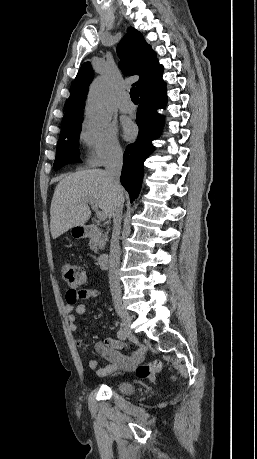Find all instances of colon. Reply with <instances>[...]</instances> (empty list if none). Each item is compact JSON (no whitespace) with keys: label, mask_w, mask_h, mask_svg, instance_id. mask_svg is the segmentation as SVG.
I'll return each mask as SVG.
<instances>
[{"label":"colon","mask_w":257,"mask_h":459,"mask_svg":"<svg viewBox=\"0 0 257 459\" xmlns=\"http://www.w3.org/2000/svg\"><path fill=\"white\" fill-rule=\"evenodd\" d=\"M61 275L63 280L71 287L78 288L87 280L86 272L73 264H66L62 267ZM87 297L85 290H80L77 299ZM163 363L160 360H153L147 364L139 365L136 369L137 377L140 379L155 380L157 374L162 370Z\"/></svg>","instance_id":"obj_1"}]
</instances>
